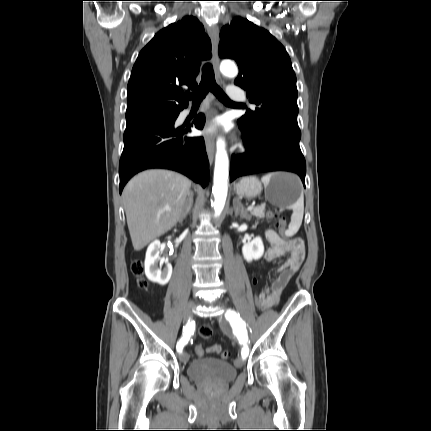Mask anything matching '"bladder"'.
<instances>
[{
    "mask_svg": "<svg viewBox=\"0 0 431 431\" xmlns=\"http://www.w3.org/2000/svg\"><path fill=\"white\" fill-rule=\"evenodd\" d=\"M187 374L195 382L210 386H223L232 383L238 372L236 367L227 361L201 358L190 363Z\"/></svg>",
    "mask_w": 431,
    "mask_h": 431,
    "instance_id": "1",
    "label": "bladder"
}]
</instances>
